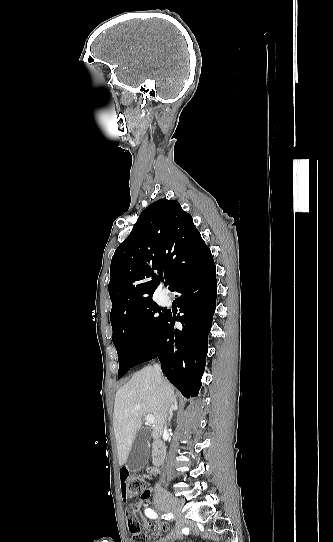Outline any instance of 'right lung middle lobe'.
<instances>
[{"mask_svg": "<svg viewBox=\"0 0 333 542\" xmlns=\"http://www.w3.org/2000/svg\"><path fill=\"white\" fill-rule=\"evenodd\" d=\"M166 315L165 310L151 302L111 319L119 360L118 378L149 351Z\"/></svg>", "mask_w": 333, "mask_h": 542, "instance_id": "1", "label": "right lung middle lobe"}]
</instances>
